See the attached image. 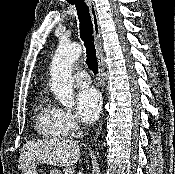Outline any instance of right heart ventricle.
Here are the masks:
<instances>
[{
  "mask_svg": "<svg viewBox=\"0 0 175 174\" xmlns=\"http://www.w3.org/2000/svg\"><path fill=\"white\" fill-rule=\"evenodd\" d=\"M36 129L41 136L50 139H61L66 136L58 124L56 107L45 99L40 100L36 108Z\"/></svg>",
  "mask_w": 175,
  "mask_h": 174,
  "instance_id": "1",
  "label": "right heart ventricle"
}]
</instances>
